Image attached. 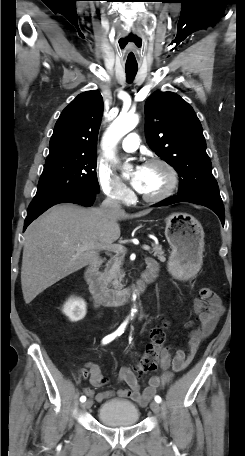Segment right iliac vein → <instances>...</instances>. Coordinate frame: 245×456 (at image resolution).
<instances>
[{"instance_id": "1", "label": "right iliac vein", "mask_w": 245, "mask_h": 456, "mask_svg": "<svg viewBox=\"0 0 245 456\" xmlns=\"http://www.w3.org/2000/svg\"><path fill=\"white\" fill-rule=\"evenodd\" d=\"M92 404H93L92 400H87L86 402H84L82 404V408L83 409H88V408H90L92 406Z\"/></svg>"}]
</instances>
